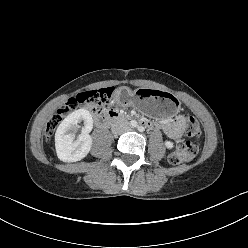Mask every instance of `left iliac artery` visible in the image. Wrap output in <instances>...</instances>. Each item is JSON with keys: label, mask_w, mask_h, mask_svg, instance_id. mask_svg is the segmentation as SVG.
I'll use <instances>...</instances> for the list:
<instances>
[{"label": "left iliac artery", "mask_w": 248, "mask_h": 248, "mask_svg": "<svg viewBox=\"0 0 248 248\" xmlns=\"http://www.w3.org/2000/svg\"><path fill=\"white\" fill-rule=\"evenodd\" d=\"M138 130H139V131H143L144 128H143L142 126H140V127H138Z\"/></svg>", "instance_id": "left-iliac-artery-1"}]
</instances>
